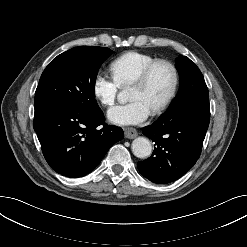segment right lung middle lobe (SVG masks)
Returning <instances> with one entry per match:
<instances>
[{
    "mask_svg": "<svg viewBox=\"0 0 247 247\" xmlns=\"http://www.w3.org/2000/svg\"><path fill=\"white\" fill-rule=\"evenodd\" d=\"M113 51L104 47H76L54 58L35 92V111L68 102L86 111H99L95 82L100 65Z\"/></svg>",
    "mask_w": 247,
    "mask_h": 247,
    "instance_id": "1",
    "label": "right lung middle lobe"
}]
</instances>
